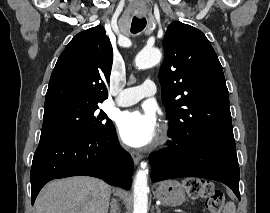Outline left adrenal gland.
I'll return each mask as SVG.
<instances>
[{
  "mask_svg": "<svg viewBox=\"0 0 270 213\" xmlns=\"http://www.w3.org/2000/svg\"><path fill=\"white\" fill-rule=\"evenodd\" d=\"M156 209H157V213H161V210L158 206H156Z\"/></svg>",
  "mask_w": 270,
  "mask_h": 213,
  "instance_id": "1",
  "label": "left adrenal gland"
}]
</instances>
